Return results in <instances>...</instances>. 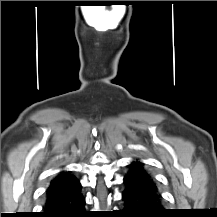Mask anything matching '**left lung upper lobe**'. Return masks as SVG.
Masks as SVG:
<instances>
[{"label": "left lung upper lobe", "instance_id": "1", "mask_svg": "<svg viewBox=\"0 0 217 217\" xmlns=\"http://www.w3.org/2000/svg\"><path fill=\"white\" fill-rule=\"evenodd\" d=\"M132 165L135 166V171L139 175H141L143 178L153 180L152 177H151V175L147 171L144 170L142 163L136 161V162H133Z\"/></svg>", "mask_w": 217, "mask_h": 217}]
</instances>
